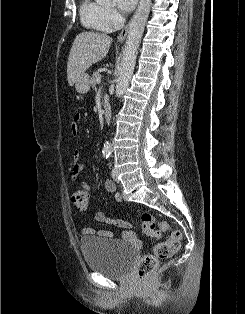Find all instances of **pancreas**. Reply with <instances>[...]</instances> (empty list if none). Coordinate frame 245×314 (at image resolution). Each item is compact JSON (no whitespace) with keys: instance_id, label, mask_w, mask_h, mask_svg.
<instances>
[{"instance_id":"cf45deb5","label":"pancreas","mask_w":245,"mask_h":314,"mask_svg":"<svg viewBox=\"0 0 245 314\" xmlns=\"http://www.w3.org/2000/svg\"><path fill=\"white\" fill-rule=\"evenodd\" d=\"M100 77V73L98 71H94L92 74V77L90 79V85L92 87H95V85L97 84V78Z\"/></svg>"}]
</instances>
